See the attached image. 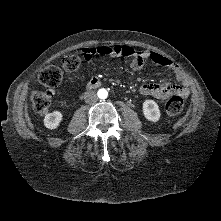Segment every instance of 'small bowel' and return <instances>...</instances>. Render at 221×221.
Returning a JSON list of instances; mask_svg holds the SVG:
<instances>
[{"instance_id": "1", "label": "small bowel", "mask_w": 221, "mask_h": 221, "mask_svg": "<svg viewBox=\"0 0 221 221\" xmlns=\"http://www.w3.org/2000/svg\"><path fill=\"white\" fill-rule=\"evenodd\" d=\"M82 54L88 62L96 55L129 58L130 66L134 71L141 70L148 61L167 67L172 70L173 78L177 84H172L169 80L158 84L146 83L140 86L139 92L142 95H148L162 100L173 96H180L181 98H187L189 96L188 81L178 65L157 52L140 51L128 45H101L97 47H84Z\"/></svg>"}]
</instances>
